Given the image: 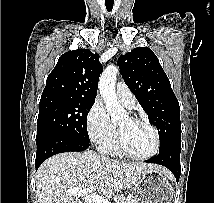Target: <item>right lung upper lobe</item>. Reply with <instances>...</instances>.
Returning <instances> with one entry per match:
<instances>
[{"mask_svg":"<svg viewBox=\"0 0 214 203\" xmlns=\"http://www.w3.org/2000/svg\"><path fill=\"white\" fill-rule=\"evenodd\" d=\"M102 71L99 55L87 49L64 53L49 74L41 99L67 97L95 100Z\"/></svg>","mask_w":214,"mask_h":203,"instance_id":"cb5924a9","label":"right lung upper lobe"}]
</instances>
